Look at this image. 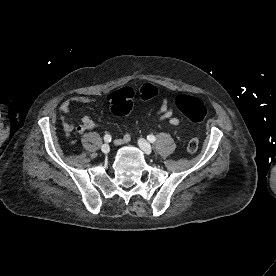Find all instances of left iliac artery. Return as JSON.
<instances>
[{"label":"left iliac artery","mask_w":276,"mask_h":276,"mask_svg":"<svg viewBox=\"0 0 276 276\" xmlns=\"http://www.w3.org/2000/svg\"><path fill=\"white\" fill-rule=\"evenodd\" d=\"M147 139H148L151 143L155 142V140H156V138H155L154 135H148V136H147Z\"/></svg>","instance_id":"obj_1"}]
</instances>
